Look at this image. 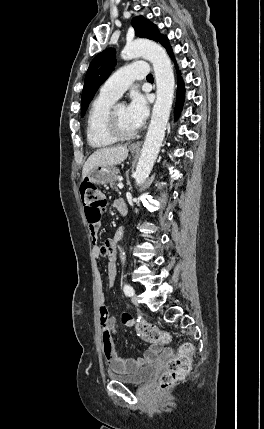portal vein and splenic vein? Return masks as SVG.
<instances>
[{"label":"portal vein and splenic vein","instance_id":"1","mask_svg":"<svg viewBox=\"0 0 264 429\" xmlns=\"http://www.w3.org/2000/svg\"><path fill=\"white\" fill-rule=\"evenodd\" d=\"M123 186H124V185H123V183H122V182H119V183H118V187H119L120 189H121V188H123Z\"/></svg>","mask_w":264,"mask_h":429}]
</instances>
